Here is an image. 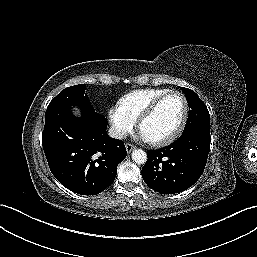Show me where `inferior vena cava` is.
<instances>
[{
  "label": "inferior vena cava",
  "instance_id": "obj_1",
  "mask_svg": "<svg viewBox=\"0 0 257 257\" xmlns=\"http://www.w3.org/2000/svg\"><path fill=\"white\" fill-rule=\"evenodd\" d=\"M108 132L109 136L115 139H125L128 135L124 129L119 128L117 126L110 127Z\"/></svg>",
  "mask_w": 257,
  "mask_h": 257
}]
</instances>
